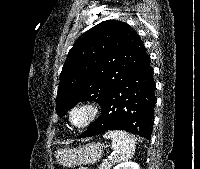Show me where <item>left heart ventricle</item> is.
<instances>
[{
  "instance_id": "b2bd125f",
  "label": "left heart ventricle",
  "mask_w": 200,
  "mask_h": 169,
  "mask_svg": "<svg viewBox=\"0 0 200 169\" xmlns=\"http://www.w3.org/2000/svg\"><path fill=\"white\" fill-rule=\"evenodd\" d=\"M83 118H84V115H83L82 113H77V114H75V120H76L77 122L82 121Z\"/></svg>"
}]
</instances>
